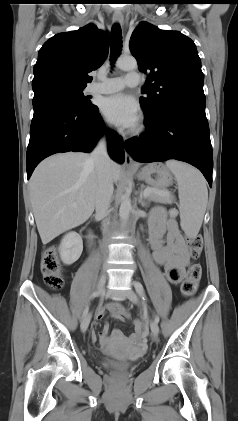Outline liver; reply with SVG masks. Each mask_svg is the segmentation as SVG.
Listing matches in <instances>:
<instances>
[{"label": "liver", "mask_w": 238, "mask_h": 421, "mask_svg": "<svg viewBox=\"0 0 238 421\" xmlns=\"http://www.w3.org/2000/svg\"><path fill=\"white\" fill-rule=\"evenodd\" d=\"M90 156L81 152L56 154L43 160L29 182L31 204L42 243L84 223L92 215L97 173ZM113 182L121 166L110 160Z\"/></svg>", "instance_id": "liver-1"}]
</instances>
